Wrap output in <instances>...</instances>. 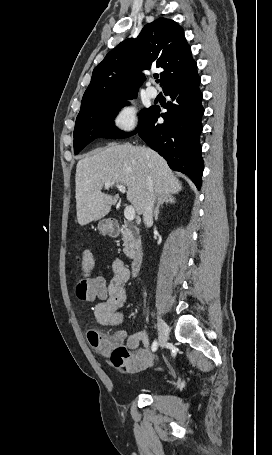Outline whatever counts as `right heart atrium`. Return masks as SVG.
<instances>
[{"instance_id":"d8ad5b80","label":"right heart atrium","mask_w":272,"mask_h":455,"mask_svg":"<svg viewBox=\"0 0 272 455\" xmlns=\"http://www.w3.org/2000/svg\"><path fill=\"white\" fill-rule=\"evenodd\" d=\"M110 120L119 135L128 136L139 127L138 109L133 101L121 100L113 107Z\"/></svg>"}]
</instances>
